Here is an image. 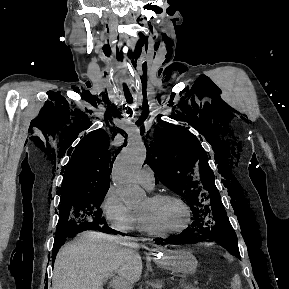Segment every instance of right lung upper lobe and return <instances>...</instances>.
Returning <instances> with one entry per match:
<instances>
[{
  "mask_svg": "<svg viewBox=\"0 0 289 289\" xmlns=\"http://www.w3.org/2000/svg\"><path fill=\"white\" fill-rule=\"evenodd\" d=\"M108 135L101 129L87 135L73 152L66 167L61 197L108 190L114 158L108 150Z\"/></svg>",
  "mask_w": 289,
  "mask_h": 289,
  "instance_id": "cb5924a9",
  "label": "right lung upper lobe"
}]
</instances>
